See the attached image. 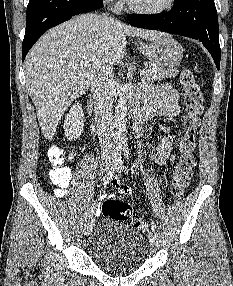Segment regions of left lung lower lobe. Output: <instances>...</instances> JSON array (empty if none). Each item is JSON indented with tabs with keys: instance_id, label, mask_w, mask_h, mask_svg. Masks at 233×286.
Segmentation results:
<instances>
[{
	"instance_id": "obj_1",
	"label": "left lung lower lobe",
	"mask_w": 233,
	"mask_h": 286,
	"mask_svg": "<svg viewBox=\"0 0 233 286\" xmlns=\"http://www.w3.org/2000/svg\"><path fill=\"white\" fill-rule=\"evenodd\" d=\"M127 19L138 27L159 29L201 41L219 70L221 50L214 0H174V6L168 13L130 14Z\"/></svg>"
}]
</instances>
